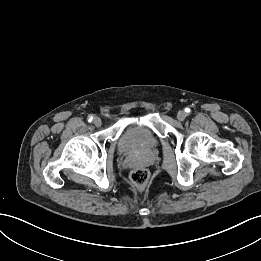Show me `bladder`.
Returning a JSON list of instances; mask_svg holds the SVG:
<instances>
[{"mask_svg":"<svg viewBox=\"0 0 261 261\" xmlns=\"http://www.w3.org/2000/svg\"><path fill=\"white\" fill-rule=\"evenodd\" d=\"M158 145V138L144 124L134 123L128 126L121 135L118 149L121 153H133L148 150Z\"/></svg>","mask_w":261,"mask_h":261,"instance_id":"bladder-1","label":"bladder"}]
</instances>
